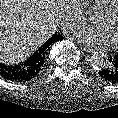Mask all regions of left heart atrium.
Here are the masks:
<instances>
[{
	"label": "left heart atrium",
	"instance_id": "obj_1",
	"mask_svg": "<svg viewBox=\"0 0 118 118\" xmlns=\"http://www.w3.org/2000/svg\"><path fill=\"white\" fill-rule=\"evenodd\" d=\"M74 35L90 45H103L108 42L107 35L99 27H83L75 31Z\"/></svg>",
	"mask_w": 118,
	"mask_h": 118
}]
</instances>
